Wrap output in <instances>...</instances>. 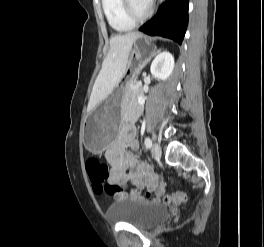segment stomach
<instances>
[{"label":"stomach","mask_w":264,"mask_h":247,"mask_svg":"<svg viewBox=\"0 0 264 247\" xmlns=\"http://www.w3.org/2000/svg\"><path fill=\"white\" fill-rule=\"evenodd\" d=\"M149 46L148 41H145L144 44H133L126 70V79L116 87L100 106L86 116L83 122L82 136L84 145L90 152L101 153L117 136L127 83L134 79L142 68L147 67V58L151 57Z\"/></svg>","instance_id":"obj_1"}]
</instances>
